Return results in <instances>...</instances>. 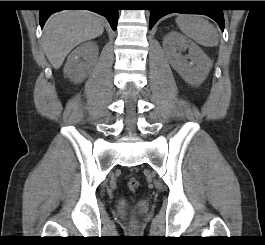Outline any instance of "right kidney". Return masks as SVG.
Masks as SVG:
<instances>
[{"label":"right kidney","mask_w":265,"mask_h":245,"mask_svg":"<svg viewBox=\"0 0 265 245\" xmlns=\"http://www.w3.org/2000/svg\"><path fill=\"white\" fill-rule=\"evenodd\" d=\"M98 46L90 41L77 47L67 58L64 74L73 82H82L97 61Z\"/></svg>","instance_id":"1"}]
</instances>
